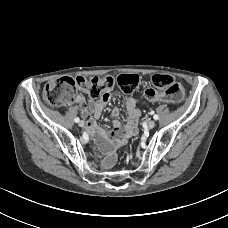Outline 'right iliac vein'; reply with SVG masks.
Returning <instances> with one entry per match:
<instances>
[{
  "label": "right iliac vein",
  "instance_id": "1",
  "mask_svg": "<svg viewBox=\"0 0 228 228\" xmlns=\"http://www.w3.org/2000/svg\"><path fill=\"white\" fill-rule=\"evenodd\" d=\"M79 126L83 127L84 126V121H79Z\"/></svg>",
  "mask_w": 228,
  "mask_h": 228
}]
</instances>
